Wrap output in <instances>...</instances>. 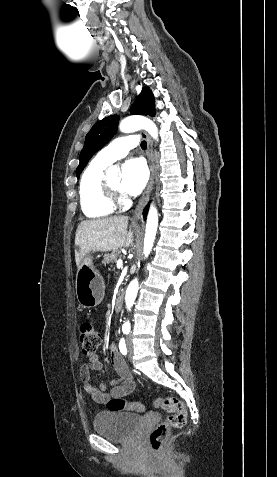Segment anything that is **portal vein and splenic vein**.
<instances>
[{"mask_svg":"<svg viewBox=\"0 0 277 477\" xmlns=\"http://www.w3.org/2000/svg\"><path fill=\"white\" fill-rule=\"evenodd\" d=\"M123 266V261L122 259L117 260V268H121Z\"/></svg>","mask_w":277,"mask_h":477,"instance_id":"1","label":"portal vein and splenic vein"}]
</instances>
